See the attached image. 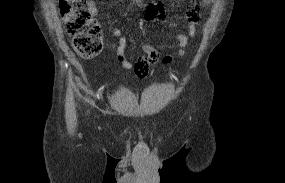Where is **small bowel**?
<instances>
[{"label": "small bowel", "instance_id": "small-bowel-1", "mask_svg": "<svg viewBox=\"0 0 285 183\" xmlns=\"http://www.w3.org/2000/svg\"><path fill=\"white\" fill-rule=\"evenodd\" d=\"M210 3V0H201L202 5H207ZM86 7L88 11L96 16L98 14V9L94 0H87ZM187 33H178L176 35L177 43V52L178 56H183L186 52V48L189 43V38H192L196 35L198 23H199V8L197 5L191 7L187 12ZM165 13L159 3H156L149 7L147 10L144 19L147 23L160 22L164 20ZM113 34L119 37L118 42L112 46L115 51L116 61L120 66L125 69L133 68V63L126 56V46L127 38L122 34V31L119 28L113 29ZM143 55L137 60V64H145L147 69L155 66L159 62V53L158 51L149 44H144L142 46ZM172 60L171 56L163 58L164 63H169Z\"/></svg>", "mask_w": 285, "mask_h": 183}]
</instances>
